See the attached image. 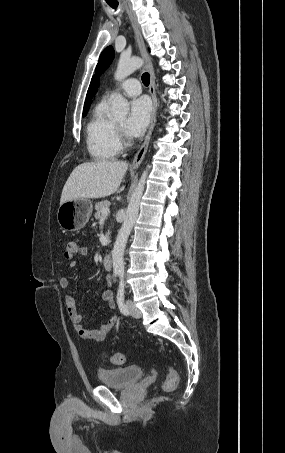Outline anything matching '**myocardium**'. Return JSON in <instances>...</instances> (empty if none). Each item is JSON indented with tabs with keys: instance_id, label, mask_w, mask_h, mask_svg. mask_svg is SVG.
Wrapping results in <instances>:
<instances>
[{
	"instance_id": "obj_1",
	"label": "myocardium",
	"mask_w": 285,
	"mask_h": 453,
	"mask_svg": "<svg viewBox=\"0 0 285 453\" xmlns=\"http://www.w3.org/2000/svg\"><path fill=\"white\" fill-rule=\"evenodd\" d=\"M116 128H117V131H118L120 140H121V141H124L126 144H128L129 142H128L126 136H125L124 128L121 127L120 125H118L117 123H116Z\"/></svg>"
}]
</instances>
